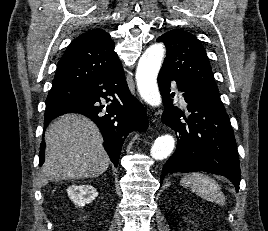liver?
<instances>
[{"label":"liver","instance_id":"liver-1","mask_svg":"<svg viewBox=\"0 0 268 231\" xmlns=\"http://www.w3.org/2000/svg\"><path fill=\"white\" fill-rule=\"evenodd\" d=\"M45 143L42 175L47 180L95 178L109 167L103 138L84 116L66 114L57 118L45 133Z\"/></svg>","mask_w":268,"mask_h":231}]
</instances>
